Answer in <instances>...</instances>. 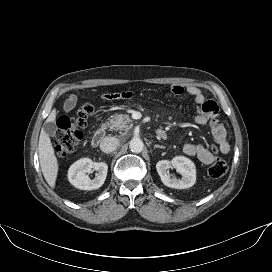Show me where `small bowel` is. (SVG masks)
<instances>
[{
    "instance_id": "1",
    "label": "small bowel",
    "mask_w": 272,
    "mask_h": 272,
    "mask_svg": "<svg viewBox=\"0 0 272 272\" xmlns=\"http://www.w3.org/2000/svg\"><path fill=\"white\" fill-rule=\"evenodd\" d=\"M171 92L176 96L184 94L193 98L196 105V115L194 121L197 125H208L210 128L211 137L218 145L220 151L226 154L230 150V145L226 137V130L223 124L217 119L219 108L216 102L206 100L201 90L196 86L183 87L180 85H173L170 87ZM134 93L130 91H120L113 93H106L102 96L104 100H119L130 99ZM77 97L71 95L64 104V110L71 112L76 107ZM183 151L188 156L197 157L204 164H211L215 158L213 153L202 143H186Z\"/></svg>"
}]
</instances>
